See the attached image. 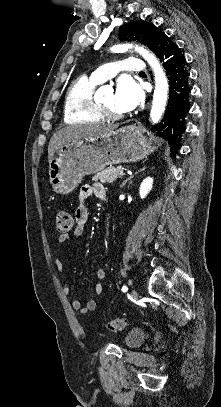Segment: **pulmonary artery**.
<instances>
[{"label": "pulmonary artery", "mask_w": 221, "mask_h": 407, "mask_svg": "<svg viewBox=\"0 0 221 407\" xmlns=\"http://www.w3.org/2000/svg\"><path fill=\"white\" fill-rule=\"evenodd\" d=\"M145 70L146 65L141 60L135 57L124 56L116 62L101 65L92 72L91 78L98 83H102L112 78L118 72L137 74Z\"/></svg>", "instance_id": "obj_1"}]
</instances>
